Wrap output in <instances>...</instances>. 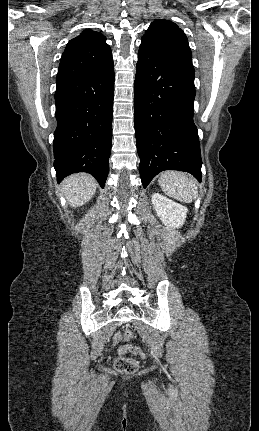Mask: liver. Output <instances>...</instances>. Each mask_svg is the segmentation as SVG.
I'll use <instances>...</instances> for the list:
<instances>
[{
	"label": "liver",
	"instance_id": "6515ba94",
	"mask_svg": "<svg viewBox=\"0 0 259 431\" xmlns=\"http://www.w3.org/2000/svg\"><path fill=\"white\" fill-rule=\"evenodd\" d=\"M96 180L89 174H73L62 183V189L67 201L72 207H79L88 202L95 194Z\"/></svg>",
	"mask_w": 259,
	"mask_h": 431
}]
</instances>
